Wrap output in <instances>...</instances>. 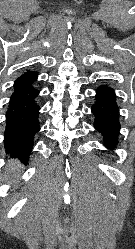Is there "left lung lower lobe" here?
I'll use <instances>...</instances> for the list:
<instances>
[{
  "label": "left lung lower lobe",
  "mask_w": 135,
  "mask_h": 249,
  "mask_svg": "<svg viewBox=\"0 0 135 249\" xmlns=\"http://www.w3.org/2000/svg\"><path fill=\"white\" fill-rule=\"evenodd\" d=\"M94 128L102 135L104 145L113 149L118 143L120 114L115 90L108 84L96 89L95 102L91 107Z\"/></svg>",
  "instance_id": "obj_1"
}]
</instances>
